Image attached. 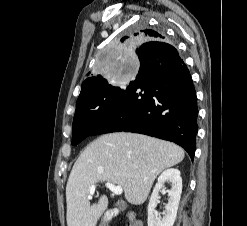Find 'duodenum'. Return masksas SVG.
<instances>
[{
    "label": "duodenum",
    "mask_w": 247,
    "mask_h": 226,
    "mask_svg": "<svg viewBox=\"0 0 247 226\" xmlns=\"http://www.w3.org/2000/svg\"><path fill=\"white\" fill-rule=\"evenodd\" d=\"M119 214V210L118 209H112V210H109L107 213H106V220H111L112 218H114L115 216H117ZM126 217H127V220L128 221H133L135 216L132 212H128L126 214Z\"/></svg>",
    "instance_id": "duodenum-1"
}]
</instances>
